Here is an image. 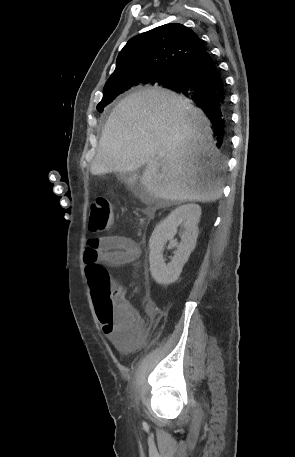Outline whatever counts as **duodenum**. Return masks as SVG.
I'll return each mask as SVG.
<instances>
[{"label": "duodenum", "instance_id": "1", "mask_svg": "<svg viewBox=\"0 0 295 457\" xmlns=\"http://www.w3.org/2000/svg\"><path fill=\"white\" fill-rule=\"evenodd\" d=\"M144 213L147 215V216H150L151 215V209L150 208H147L145 209Z\"/></svg>", "mask_w": 295, "mask_h": 457}]
</instances>
